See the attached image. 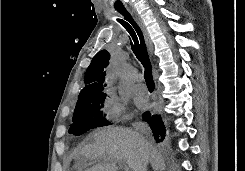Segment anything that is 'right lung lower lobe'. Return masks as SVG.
Here are the masks:
<instances>
[{"label":"right lung lower lobe","instance_id":"obj_1","mask_svg":"<svg viewBox=\"0 0 245 171\" xmlns=\"http://www.w3.org/2000/svg\"><path fill=\"white\" fill-rule=\"evenodd\" d=\"M142 117L143 120H145L150 125L155 140L157 142H162L165 138L166 130L161 116L151 115V113L147 111L143 113Z\"/></svg>","mask_w":245,"mask_h":171}]
</instances>
